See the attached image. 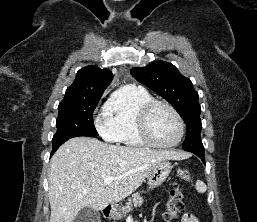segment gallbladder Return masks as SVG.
I'll return each mask as SVG.
<instances>
[{
    "mask_svg": "<svg viewBox=\"0 0 257 222\" xmlns=\"http://www.w3.org/2000/svg\"><path fill=\"white\" fill-rule=\"evenodd\" d=\"M73 222H101V215L98 211L85 207L78 212Z\"/></svg>",
    "mask_w": 257,
    "mask_h": 222,
    "instance_id": "1",
    "label": "gallbladder"
}]
</instances>
